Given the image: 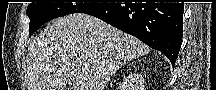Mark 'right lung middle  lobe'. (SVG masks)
Wrapping results in <instances>:
<instances>
[{"label":"right lung middle lobe","mask_w":216,"mask_h":90,"mask_svg":"<svg viewBox=\"0 0 216 90\" xmlns=\"http://www.w3.org/2000/svg\"><path fill=\"white\" fill-rule=\"evenodd\" d=\"M105 3H31L27 7V15L30 19L29 34L32 35L44 23L68 14L83 13Z\"/></svg>","instance_id":"dd1d6c3e"}]
</instances>
